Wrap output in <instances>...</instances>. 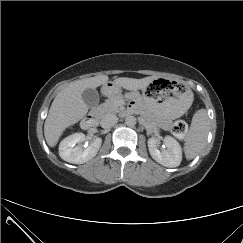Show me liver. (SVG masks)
<instances>
[{
	"mask_svg": "<svg viewBox=\"0 0 243 243\" xmlns=\"http://www.w3.org/2000/svg\"><path fill=\"white\" fill-rule=\"evenodd\" d=\"M156 76L142 79L120 77L113 84L126 90L136 91L146 88ZM107 75H100L69 84L53 100L44 123V136L50 147L56 146L64 130L79 122L88 112V106L82 99L85 89H95L108 82Z\"/></svg>",
	"mask_w": 243,
	"mask_h": 243,
	"instance_id": "obj_1",
	"label": "liver"
}]
</instances>
